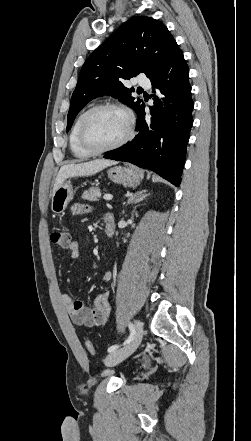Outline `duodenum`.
Instances as JSON below:
<instances>
[{
    "instance_id": "duodenum-1",
    "label": "duodenum",
    "mask_w": 251,
    "mask_h": 441,
    "mask_svg": "<svg viewBox=\"0 0 251 441\" xmlns=\"http://www.w3.org/2000/svg\"><path fill=\"white\" fill-rule=\"evenodd\" d=\"M115 233V221L113 217L105 219V234L107 237H112Z\"/></svg>"
}]
</instances>
